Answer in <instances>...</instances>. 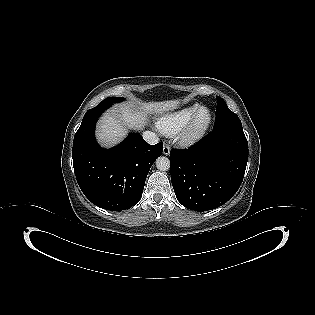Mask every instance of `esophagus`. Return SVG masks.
<instances>
[{
	"label": "esophagus",
	"mask_w": 315,
	"mask_h": 315,
	"mask_svg": "<svg viewBox=\"0 0 315 315\" xmlns=\"http://www.w3.org/2000/svg\"><path fill=\"white\" fill-rule=\"evenodd\" d=\"M169 153H170V147H169V145L165 144L163 146V154L164 155H169Z\"/></svg>",
	"instance_id": "34e87169"
}]
</instances>
